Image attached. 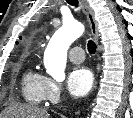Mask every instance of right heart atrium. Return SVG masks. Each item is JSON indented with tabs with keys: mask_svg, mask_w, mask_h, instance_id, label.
Segmentation results:
<instances>
[{
	"mask_svg": "<svg viewBox=\"0 0 133 118\" xmlns=\"http://www.w3.org/2000/svg\"><path fill=\"white\" fill-rule=\"evenodd\" d=\"M44 93L45 100L49 102H56L62 96V84L52 78L45 77Z\"/></svg>",
	"mask_w": 133,
	"mask_h": 118,
	"instance_id": "obj_1",
	"label": "right heart atrium"
}]
</instances>
